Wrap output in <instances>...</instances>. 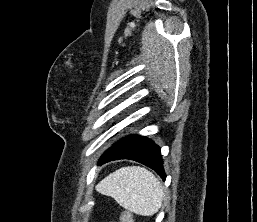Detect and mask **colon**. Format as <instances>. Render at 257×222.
I'll return each instance as SVG.
<instances>
[{
  "label": "colon",
  "mask_w": 257,
  "mask_h": 222,
  "mask_svg": "<svg viewBox=\"0 0 257 222\" xmlns=\"http://www.w3.org/2000/svg\"><path fill=\"white\" fill-rule=\"evenodd\" d=\"M120 220H121V222H133V216H132L131 212L124 211V212H122V214L120 216Z\"/></svg>",
  "instance_id": "obj_1"
}]
</instances>
